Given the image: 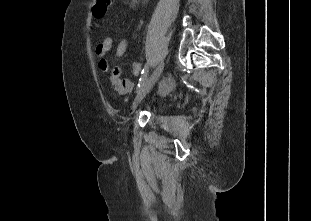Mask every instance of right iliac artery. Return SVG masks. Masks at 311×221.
<instances>
[{
	"label": "right iliac artery",
	"instance_id": "right-iliac-artery-1",
	"mask_svg": "<svg viewBox=\"0 0 311 221\" xmlns=\"http://www.w3.org/2000/svg\"><path fill=\"white\" fill-rule=\"evenodd\" d=\"M148 72H149V66L148 63L144 66V69L141 72V77L139 79V82L137 84V88H140L141 85L145 82V80L147 79L148 76Z\"/></svg>",
	"mask_w": 311,
	"mask_h": 221
}]
</instances>
